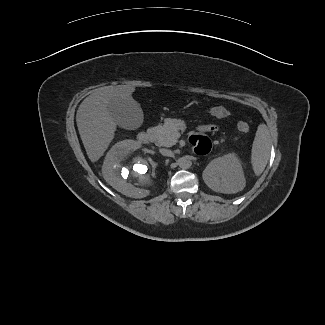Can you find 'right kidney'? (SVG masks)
Here are the masks:
<instances>
[{
    "label": "right kidney",
    "mask_w": 325,
    "mask_h": 325,
    "mask_svg": "<svg viewBox=\"0 0 325 325\" xmlns=\"http://www.w3.org/2000/svg\"><path fill=\"white\" fill-rule=\"evenodd\" d=\"M140 144L133 140H124L115 144L107 153L102 167L106 182L120 193L133 198L149 195L154 187L156 173L150 167L148 159L135 155L124 163Z\"/></svg>",
    "instance_id": "obj_1"
}]
</instances>
